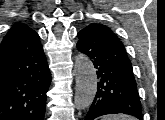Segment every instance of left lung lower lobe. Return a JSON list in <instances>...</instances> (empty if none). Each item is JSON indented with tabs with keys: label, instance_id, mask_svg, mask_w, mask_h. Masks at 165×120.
Here are the masks:
<instances>
[{
	"label": "left lung lower lobe",
	"instance_id": "left-lung-lower-lobe-1",
	"mask_svg": "<svg viewBox=\"0 0 165 120\" xmlns=\"http://www.w3.org/2000/svg\"><path fill=\"white\" fill-rule=\"evenodd\" d=\"M77 48L97 69V93L85 120L125 113L142 120L132 64L120 39L107 26L90 24L78 33Z\"/></svg>",
	"mask_w": 165,
	"mask_h": 120
}]
</instances>
